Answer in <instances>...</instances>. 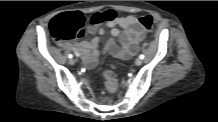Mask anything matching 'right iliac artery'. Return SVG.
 I'll return each mask as SVG.
<instances>
[{
    "instance_id": "82829eb1",
    "label": "right iliac artery",
    "mask_w": 218,
    "mask_h": 122,
    "mask_svg": "<svg viewBox=\"0 0 218 122\" xmlns=\"http://www.w3.org/2000/svg\"><path fill=\"white\" fill-rule=\"evenodd\" d=\"M68 57L71 59V58L73 57V55H72V54H69Z\"/></svg>"
}]
</instances>
